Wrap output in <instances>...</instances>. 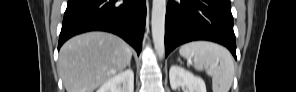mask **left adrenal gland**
Here are the masks:
<instances>
[{"label":"left adrenal gland","instance_id":"left-adrenal-gland-1","mask_svg":"<svg viewBox=\"0 0 296 92\" xmlns=\"http://www.w3.org/2000/svg\"><path fill=\"white\" fill-rule=\"evenodd\" d=\"M178 61H181L179 57H178Z\"/></svg>","mask_w":296,"mask_h":92}]
</instances>
